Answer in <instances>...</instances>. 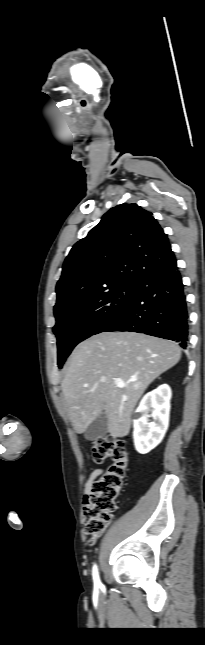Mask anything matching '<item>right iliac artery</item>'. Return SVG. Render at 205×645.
<instances>
[{"label": "right iliac artery", "mask_w": 205, "mask_h": 645, "mask_svg": "<svg viewBox=\"0 0 205 645\" xmlns=\"http://www.w3.org/2000/svg\"><path fill=\"white\" fill-rule=\"evenodd\" d=\"M92 573H93V580H94V584H95V586H96V587L100 586L101 582H100V579H99V575H98V570H97V566H96V564L93 566Z\"/></svg>", "instance_id": "right-iliac-artery-1"}]
</instances>
